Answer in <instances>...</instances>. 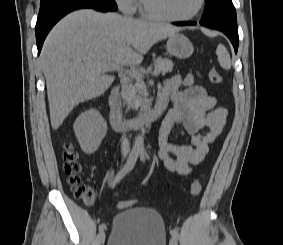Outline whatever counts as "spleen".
I'll return each instance as SVG.
<instances>
[{
  "label": "spleen",
  "instance_id": "obj_1",
  "mask_svg": "<svg viewBox=\"0 0 283 245\" xmlns=\"http://www.w3.org/2000/svg\"><path fill=\"white\" fill-rule=\"evenodd\" d=\"M218 61L223 69L229 70L231 68L230 55L224 45L219 44L216 49Z\"/></svg>",
  "mask_w": 283,
  "mask_h": 245
}]
</instances>
